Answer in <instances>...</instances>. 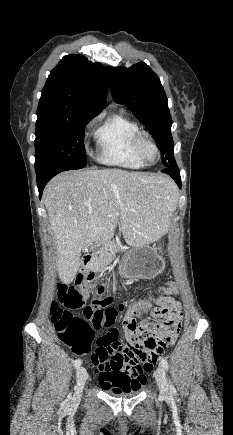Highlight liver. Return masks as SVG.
<instances>
[{
	"label": "liver",
	"instance_id": "obj_1",
	"mask_svg": "<svg viewBox=\"0 0 233 435\" xmlns=\"http://www.w3.org/2000/svg\"><path fill=\"white\" fill-rule=\"evenodd\" d=\"M178 199L177 186L163 174L90 169L55 176L43 200L55 235L61 281L74 280L81 251L111 240L118 221L130 246L159 240Z\"/></svg>",
	"mask_w": 233,
	"mask_h": 435
}]
</instances>
